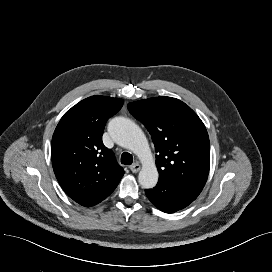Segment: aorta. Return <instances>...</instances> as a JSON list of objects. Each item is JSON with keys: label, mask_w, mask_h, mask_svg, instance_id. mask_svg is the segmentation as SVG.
I'll list each match as a JSON object with an SVG mask.
<instances>
[{"label": "aorta", "mask_w": 272, "mask_h": 272, "mask_svg": "<svg viewBox=\"0 0 272 272\" xmlns=\"http://www.w3.org/2000/svg\"><path fill=\"white\" fill-rule=\"evenodd\" d=\"M108 131L120 146L132 150L141 160L138 181L142 188H153L158 182V171L150 146L141 128L133 121L116 117L109 122Z\"/></svg>", "instance_id": "aorta-1"}]
</instances>
